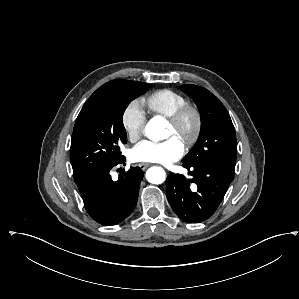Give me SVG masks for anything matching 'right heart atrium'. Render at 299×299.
I'll return each instance as SVG.
<instances>
[{
  "mask_svg": "<svg viewBox=\"0 0 299 299\" xmlns=\"http://www.w3.org/2000/svg\"><path fill=\"white\" fill-rule=\"evenodd\" d=\"M146 121V114L140 100L130 101L125 107L121 123L127 138L131 141L137 140L143 131Z\"/></svg>",
  "mask_w": 299,
  "mask_h": 299,
  "instance_id": "obj_1",
  "label": "right heart atrium"
}]
</instances>
